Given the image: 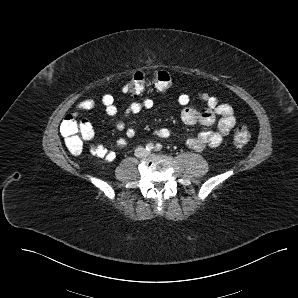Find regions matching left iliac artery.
<instances>
[{"label":"left iliac artery","instance_id":"1","mask_svg":"<svg viewBox=\"0 0 298 298\" xmlns=\"http://www.w3.org/2000/svg\"><path fill=\"white\" fill-rule=\"evenodd\" d=\"M162 149V145L160 143H157L155 146L156 151H160Z\"/></svg>","mask_w":298,"mask_h":298}]
</instances>
